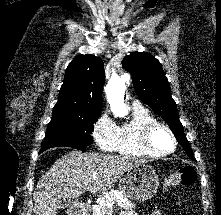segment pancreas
<instances>
[{"label":"pancreas","instance_id":"pancreas-1","mask_svg":"<svg viewBox=\"0 0 221 215\" xmlns=\"http://www.w3.org/2000/svg\"><path fill=\"white\" fill-rule=\"evenodd\" d=\"M117 194L121 196L122 199L117 198L114 192H107L102 195L100 201L93 207L92 215H108L111 208L107 206V203L114 200L120 208L132 209L135 207V205L129 201L122 192L117 191Z\"/></svg>","mask_w":221,"mask_h":215}]
</instances>
